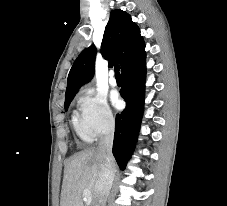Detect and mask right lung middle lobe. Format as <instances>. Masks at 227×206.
I'll return each mask as SVG.
<instances>
[{
	"mask_svg": "<svg viewBox=\"0 0 227 206\" xmlns=\"http://www.w3.org/2000/svg\"><path fill=\"white\" fill-rule=\"evenodd\" d=\"M74 96L65 98V109H67L70 102L73 100Z\"/></svg>",
	"mask_w": 227,
	"mask_h": 206,
	"instance_id": "dd1d6c3e",
	"label": "right lung middle lobe"
}]
</instances>
